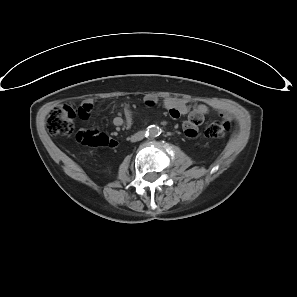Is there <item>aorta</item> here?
<instances>
[{"instance_id":"obj_1","label":"aorta","mask_w":297,"mask_h":297,"mask_svg":"<svg viewBox=\"0 0 297 297\" xmlns=\"http://www.w3.org/2000/svg\"><path fill=\"white\" fill-rule=\"evenodd\" d=\"M149 133L151 136H159L162 133V129L157 125H153L149 129Z\"/></svg>"}]
</instances>
